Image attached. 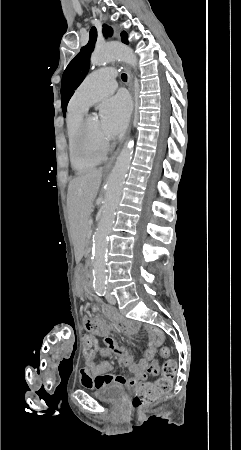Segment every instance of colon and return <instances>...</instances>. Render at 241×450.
Instances as JSON below:
<instances>
[{
    "instance_id": "1",
    "label": "colon",
    "mask_w": 241,
    "mask_h": 450,
    "mask_svg": "<svg viewBox=\"0 0 241 450\" xmlns=\"http://www.w3.org/2000/svg\"><path fill=\"white\" fill-rule=\"evenodd\" d=\"M79 351L84 353L87 359H92L94 354L97 353V346L93 345L91 339L86 337H81L79 339ZM161 358H166L169 355V350L167 347H162L159 351ZM159 366L157 363L153 362L146 368V373L148 375H156L158 373ZM176 370V365L171 360H166L163 366L164 376L159 377L153 383L143 384L137 391L132 405L136 409H145L154 405L163 395L167 393L170 387L169 377Z\"/></svg>"
}]
</instances>
